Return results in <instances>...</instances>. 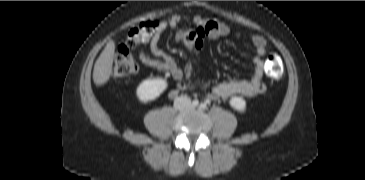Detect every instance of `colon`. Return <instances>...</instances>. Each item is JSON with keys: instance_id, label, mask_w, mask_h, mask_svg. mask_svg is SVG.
I'll list each match as a JSON object with an SVG mask.
<instances>
[{"instance_id": "1", "label": "colon", "mask_w": 365, "mask_h": 180, "mask_svg": "<svg viewBox=\"0 0 365 180\" xmlns=\"http://www.w3.org/2000/svg\"><path fill=\"white\" fill-rule=\"evenodd\" d=\"M158 22L155 20L145 21L129 30L126 40L121 45L114 57L113 73L116 76L135 74L138 63L132 57L130 49L149 41L157 32ZM266 70L271 78L279 79L283 73V63L279 54L271 53L266 60Z\"/></svg>"}]
</instances>
